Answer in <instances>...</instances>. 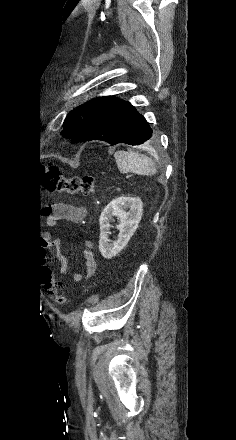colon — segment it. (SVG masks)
Segmentation results:
<instances>
[{
  "instance_id": "1",
  "label": "colon",
  "mask_w": 236,
  "mask_h": 440,
  "mask_svg": "<svg viewBox=\"0 0 236 440\" xmlns=\"http://www.w3.org/2000/svg\"><path fill=\"white\" fill-rule=\"evenodd\" d=\"M45 188L48 191H60L68 194L90 196L95 192V180L92 176H80L67 178L62 175L61 169L52 163L44 167L42 173ZM58 276H45L44 288L60 305L67 303V298L58 288Z\"/></svg>"
}]
</instances>
